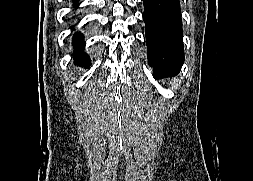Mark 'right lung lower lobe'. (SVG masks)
Wrapping results in <instances>:
<instances>
[{
    "label": "right lung lower lobe",
    "mask_w": 253,
    "mask_h": 181,
    "mask_svg": "<svg viewBox=\"0 0 253 181\" xmlns=\"http://www.w3.org/2000/svg\"><path fill=\"white\" fill-rule=\"evenodd\" d=\"M75 2L78 0H74ZM83 36L80 33H77L74 38V46L77 49L75 55V62L84 67H88L90 65V59L86 54H83L81 50L84 48V43L82 42Z\"/></svg>",
    "instance_id": "right-lung-lower-lobe-1"
}]
</instances>
